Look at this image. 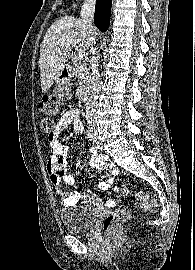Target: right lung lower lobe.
Here are the masks:
<instances>
[{
	"label": "right lung lower lobe",
	"mask_w": 195,
	"mask_h": 270,
	"mask_svg": "<svg viewBox=\"0 0 195 270\" xmlns=\"http://www.w3.org/2000/svg\"><path fill=\"white\" fill-rule=\"evenodd\" d=\"M112 0H97L94 23L102 31H107L110 24Z\"/></svg>",
	"instance_id": "1"
}]
</instances>
